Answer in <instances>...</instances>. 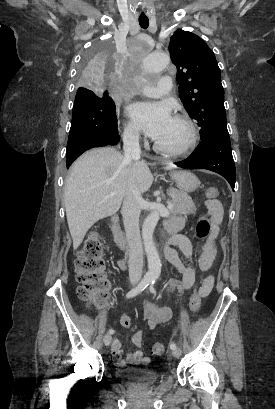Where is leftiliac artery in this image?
Returning <instances> with one entry per match:
<instances>
[{"instance_id":"44dca946","label":"left iliac artery","mask_w":275,"mask_h":409,"mask_svg":"<svg viewBox=\"0 0 275 409\" xmlns=\"http://www.w3.org/2000/svg\"><path fill=\"white\" fill-rule=\"evenodd\" d=\"M156 279H157V277H154V278H152V280H151V282H150V291L152 292V293H156V291H155V289H154V287H153V285L155 284V282H156ZM176 344L174 343V342H171L170 343V348L173 350V349H176Z\"/></svg>"}]
</instances>
